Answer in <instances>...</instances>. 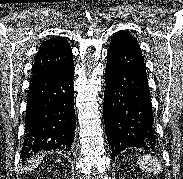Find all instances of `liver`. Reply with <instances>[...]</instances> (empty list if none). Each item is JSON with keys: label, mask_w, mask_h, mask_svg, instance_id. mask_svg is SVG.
Masks as SVG:
<instances>
[{"label": "liver", "mask_w": 183, "mask_h": 179, "mask_svg": "<svg viewBox=\"0 0 183 179\" xmlns=\"http://www.w3.org/2000/svg\"><path fill=\"white\" fill-rule=\"evenodd\" d=\"M39 163H40V159L39 158L37 160H33V162L31 163V165L29 167H27L26 169L27 170H31V169L37 167Z\"/></svg>", "instance_id": "6515ba94"}]
</instances>
